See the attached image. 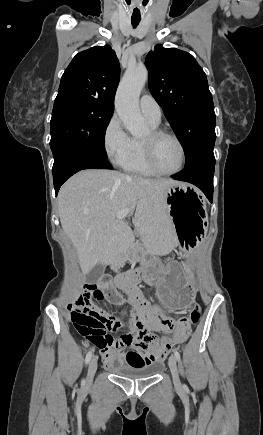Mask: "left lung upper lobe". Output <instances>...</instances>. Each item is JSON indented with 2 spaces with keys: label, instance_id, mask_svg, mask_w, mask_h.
<instances>
[{
  "label": "left lung upper lobe",
  "instance_id": "left-lung-upper-lobe-1",
  "mask_svg": "<svg viewBox=\"0 0 263 435\" xmlns=\"http://www.w3.org/2000/svg\"><path fill=\"white\" fill-rule=\"evenodd\" d=\"M149 89L185 150V164L215 144V112L206 74L195 58L157 45L146 57Z\"/></svg>",
  "mask_w": 263,
  "mask_h": 435
}]
</instances>
